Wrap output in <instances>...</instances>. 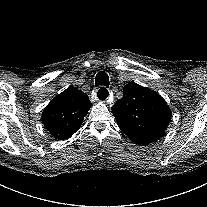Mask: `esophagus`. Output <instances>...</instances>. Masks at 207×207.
<instances>
[{
  "label": "esophagus",
  "mask_w": 207,
  "mask_h": 207,
  "mask_svg": "<svg viewBox=\"0 0 207 207\" xmlns=\"http://www.w3.org/2000/svg\"><path fill=\"white\" fill-rule=\"evenodd\" d=\"M93 97L96 101H107L109 99V91L107 89H95Z\"/></svg>",
  "instance_id": "1"
}]
</instances>
